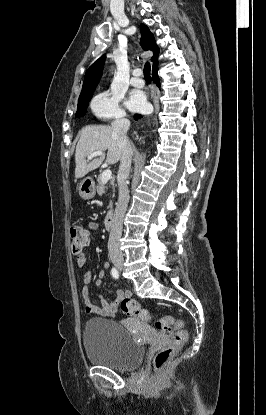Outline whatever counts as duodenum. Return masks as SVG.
Segmentation results:
<instances>
[{
    "label": "duodenum",
    "instance_id": "obj_1",
    "mask_svg": "<svg viewBox=\"0 0 266 415\" xmlns=\"http://www.w3.org/2000/svg\"><path fill=\"white\" fill-rule=\"evenodd\" d=\"M114 214L113 212L107 213L104 219V226L106 229L110 230L113 226Z\"/></svg>",
    "mask_w": 266,
    "mask_h": 415
}]
</instances>
